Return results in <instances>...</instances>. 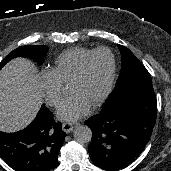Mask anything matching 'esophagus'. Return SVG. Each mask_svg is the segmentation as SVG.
Instances as JSON below:
<instances>
[{
    "label": "esophagus",
    "instance_id": "34e87169",
    "mask_svg": "<svg viewBox=\"0 0 171 171\" xmlns=\"http://www.w3.org/2000/svg\"><path fill=\"white\" fill-rule=\"evenodd\" d=\"M76 125H77L76 122H65L62 125V130L65 133H70L75 128Z\"/></svg>",
    "mask_w": 171,
    "mask_h": 171
}]
</instances>
